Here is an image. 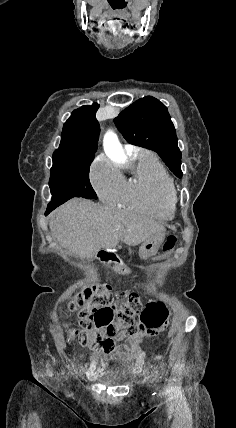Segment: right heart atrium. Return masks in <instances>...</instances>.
I'll list each match as a JSON object with an SVG mask.
<instances>
[{
    "mask_svg": "<svg viewBox=\"0 0 236 428\" xmlns=\"http://www.w3.org/2000/svg\"><path fill=\"white\" fill-rule=\"evenodd\" d=\"M89 180L99 200L105 205H115L122 200L124 179L103 156L90 166Z\"/></svg>",
    "mask_w": 236,
    "mask_h": 428,
    "instance_id": "right-heart-atrium-1",
    "label": "right heart atrium"
}]
</instances>
